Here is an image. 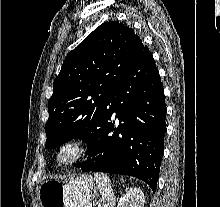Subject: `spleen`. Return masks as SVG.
Masks as SVG:
<instances>
[{"instance_id": "1", "label": "spleen", "mask_w": 220, "mask_h": 207, "mask_svg": "<svg viewBox=\"0 0 220 207\" xmlns=\"http://www.w3.org/2000/svg\"><path fill=\"white\" fill-rule=\"evenodd\" d=\"M95 179L98 182L99 191L101 193L98 207H113L115 204V197L109 177L103 173H96Z\"/></svg>"}]
</instances>
